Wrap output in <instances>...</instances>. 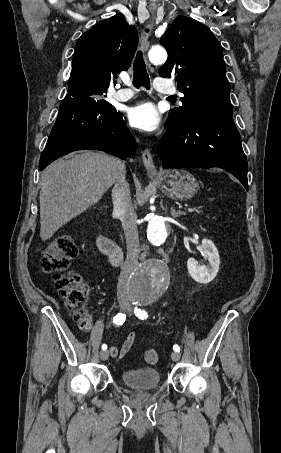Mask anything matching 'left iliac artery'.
I'll list each match as a JSON object with an SVG mask.
<instances>
[{
	"label": "left iliac artery",
	"instance_id": "obj_1",
	"mask_svg": "<svg viewBox=\"0 0 281 453\" xmlns=\"http://www.w3.org/2000/svg\"><path fill=\"white\" fill-rule=\"evenodd\" d=\"M134 313L141 320H144L148 317L147 312H145L144 310L142 311L141 309H138L137 307L135 308ZM173 349L176 352H180V347L178 345H174Z\"/></svg>",
	"mask_w": 281,
	"mask_h": 453
}]
</instances>
